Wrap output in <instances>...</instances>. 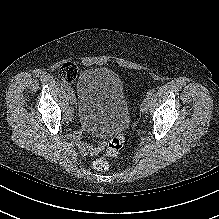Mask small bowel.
I'll return each instance as SVG.
<instances>
[{"label":"small bowel","mask_w":219,"mask_h":219,"mask_svg":"<svg viewBox=\"0 0 219 219\" xmlns=\"http://www.w3.org/2000/svg\"><path fill=\"white\" fill-rule=\"evenodd\" d=\"M80 138V136H78ZM79 146L81 151L88 156H94L98 154L104 147V144L102 142H99L95 145H86L83 141L79 142Z\"/></svg>","instance_id":"c3829d8e"}]
</instances>
